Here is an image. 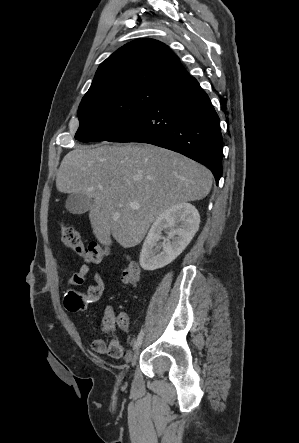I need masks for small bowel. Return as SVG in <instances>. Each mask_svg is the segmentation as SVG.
I'll return each instance as SVG.
<instances>
[{"mask_svg":"<svg viewBox=\"0 0 299 443\" xmlns=\"http://www.w3.org/2000/svg\"><path fill=\"white\" fill-rule=\"evenodd\" d=\"M90 265L83 264L79 270L74 273L67 281L69 287L80 286L85 282V277L90 272ZM94 283L89 285L84 293L70 289L64 299V306L70 312H78L83 310L89 303L97 302L104 292V281L99 272L93 273ZM126 319L127 326L128 315L124 312L120 313ZM114 309L110 306L106 307L103 314L104 333L106 339L95 338L91 342V348L95 353L107 354L114 359L130 358V353L125 352L123 344L112 336L113 324L116 319Z\"/></svg>","mask_w":299,"mask_h":443,"instance_id":"obj_1","label":"small bowel"}]
</instances>
